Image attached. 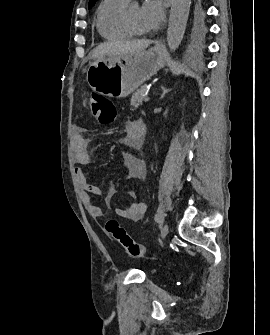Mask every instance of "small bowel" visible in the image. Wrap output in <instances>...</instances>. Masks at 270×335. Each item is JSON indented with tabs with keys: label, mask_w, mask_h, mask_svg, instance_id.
<instances>
[{
	"label": "small bowel",
	"mask_w": 270,
	"mask_h": 335,
	"mask_svg": "<svg viewBox=\"0 0 270 335\" xmlns=\"http://www.w3.org/2000/svg\"><path fill=\"white\" fill-rule=\"evenodd\" d=\"M144 122L142 120L129 121L125 126V139L129 147L123 161L128 169L129 176L134 179H145L147 177V164L137 154L143 143L145 133L141 132ZM90 141L85 135L81 126H74L72 128V153L74 162L81 166L91 164V157L89 154ZM75 176L79 187L83 192L82 200L91 217L95 220H100L103 217L101 207L96 205L91 196H101L100 188L94 183L90 182L81 168H76ZM115 193L113 186H110L105 196V203L107 206L111 205L112 197ZM147 205L144 202H134L127 208H117L116 214L126 220L139 221L145 214Z\"/></svg>",
	"instance_id": "obj_1"
}]
</instances>
